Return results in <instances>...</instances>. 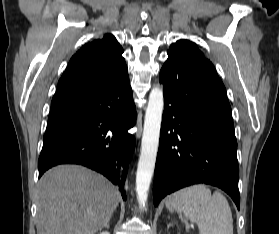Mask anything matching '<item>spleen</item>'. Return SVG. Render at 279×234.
<instances>
[{
    "label": "spleen",
    "mask_w": 279,
    "mask_h": 234,
    "mask_svg": "<svg viewBox=\"0 0 279 234\" xmlns=\"http://www.w3.org/2000/svg\"><path fill=\"white\" fill-rule=\"evenodd\" d=\"M169 211L183 212L196 223L200 234H233L232 212L227 199L218 191L211 195L205 185H194L170 195Z\"/></svg>",
    "instance_id": "3e777b00"
}]
</instances>
